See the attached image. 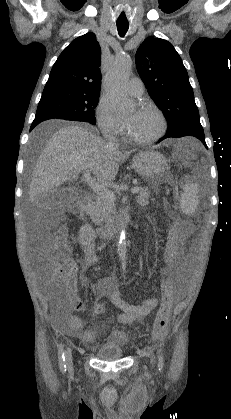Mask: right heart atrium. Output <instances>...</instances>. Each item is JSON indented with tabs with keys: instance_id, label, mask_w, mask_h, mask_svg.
I'll list each match as a JSON object with an SVG mask.
<instances>
[{
	"instance_id": "1",
	"label": "right heart atrium",
	"mask_w": 231,
	"mask_h": 419,
	"mask_svg": "<svg viewBox=\"0 0 231 419\" xmlns=\"http://www.w3.org/2000/svg\"><path fill=\"white\" fill-rule=\"evenodd\" d=\"M97 123L104 135L122 136L125 132L123 121L115 114L111 104L105 98L98 101L95 110Z\"/></svg>"
}]
</instances>
